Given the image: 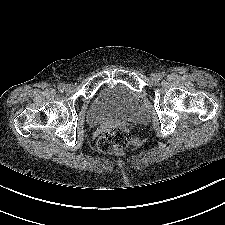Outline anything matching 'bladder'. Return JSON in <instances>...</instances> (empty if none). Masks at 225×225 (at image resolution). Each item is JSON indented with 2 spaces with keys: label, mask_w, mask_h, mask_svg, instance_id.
I'll list each match as a JSON object with an SVG mask.
<instances>
[{
  "label": "bladder",
  "mask_w": 225,
  "mask_h": 225,
  "mask_svg": "<svg viewBox=\"0 0 225 225\" xmlns=\"http://www.w3.org/2000/svg\"><path fill=\"white\" fill-rule=\"evenodd\" d=\"M147 119L148 112L141 98L120 84L101 91L93 100L87 113V122L91 126L111 121L140 124Z\"/></svg>",
  "instance_id": "31cf9c89"
}]
</instances>
